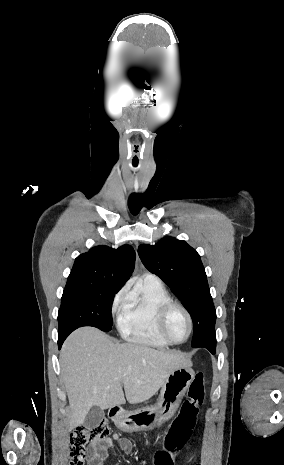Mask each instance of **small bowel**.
Wrapping results in <instances>:
<instances>
[{
    "label": "small bowel",
    "instance_id": "1",
    "mask_svg": "<svg viewBox=\"0 0 284 465\" xmlns=\"http://www.w3.org/2000/svg\"><path fill=\"white\" fill-rule=\"evenodd\" d=\"M119 446L127 455L133 453V447L130 440L121 438L118 434H112L107 440L96 443L90 454V465H102L108 453Z\"/></svg>",
    "mask_w": 284,
    "mask_h": 465
}]
</instances>
